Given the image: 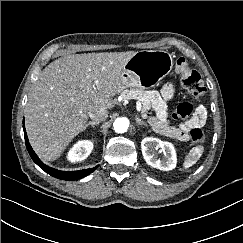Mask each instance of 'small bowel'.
<instances>
[{
	"instance_id": "small-bowel-1",
	"label": "small bowel",
	"mask_w": 243,
	"mask_h": 243,
	"mask_svg": "<svg viewBox=\"0 0 243 243\" xmlns=\"http://www.w3.org/2000/svg\"><path fill=\"white\" fill-rule=\"evenodd\" d=\"M174 95V87L172 84L165 85L162 90L158 92H150L147 95V101L156 110V118L153 119V126L157 132L168 137L175 138L181 141L189 140V131L195 127H201L207 117L206 108L202 105L198 106L194 115L188 121L174 127L169 124L167 117V109L165 102L171 99Z\"/></svg>"
}]
</instances>
